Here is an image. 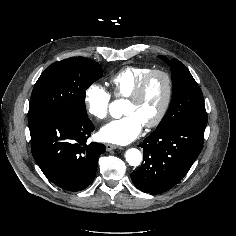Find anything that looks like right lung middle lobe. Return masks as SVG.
<instances>
[{
  "label": "right lung middle lobe",
  "mask_w": 236,
  "mask_h": 236,
  "mask_svg": "<svg viewBox=\"0 0 236 236\" xmlns=\"http://www.w3.org/2000/svg\"><path fill=\"white\" fill-rule=\"evenodd\" d=\"M101 77L102 69L94 60L71 57L53 63L34 85L28 114L87 116L85 91Z\"/></svg>",
  "instance_id": "1"
}]
</instances>
